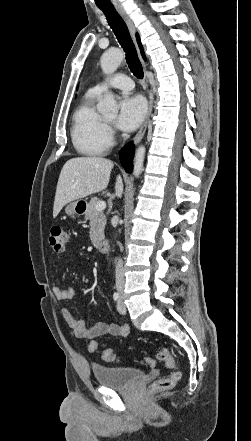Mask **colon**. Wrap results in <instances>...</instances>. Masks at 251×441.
I'll return each instance as SVG.
<instances>
[{
    "label": "colon",
    "instance_id": "obj_1",
    "mask_svg": "<svg viewBox=\"0 0 251 441\" xmlns=\"http://www.w3.org/2000/svg\"><path fill=\"white\" fill-rule=\"evenodd\" d=\"M68 241L69 234L61 227L55 226L51 229L49 233V242L54 251L62 252L66 248ZM98 347V342L91 341L88 348L90 352H96ZM102 358L105 361L110 362L116 360L115 354L111 350L103 351ZM156 358L164 363V365L170 370V373L169 375L154 381L150 386V391L161 392L172 389L181 378V372L176 360L165 347H160L158 349ZM143 363L147 366H154L155 361L152 358H145Z\"/></svg>",
    "mask_w": 251,
    "mask_h": 441
}]
</instances>
